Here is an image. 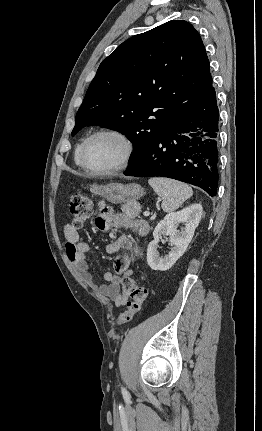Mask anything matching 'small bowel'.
<instances>
[{
	"instance_id": "1",
	"label": "small bowel",
	"mask_w": 262,
	"mask_h": 431,
	"mask_svg": "<svg viewBox=\"0 0 262 431\" xmlns=\"http://www.w3.org/2000/svg\"><path fill=\"white\" fill-rule=\"evenodd\" d=\"M105 202L100 201L98 208L103 209ZM96 226L101 230L112 228L134 229L136 233L145 238L149 231V223L143 219H131L123 213H112L101 215L96 218ZM64 236L66 240L67 258L73 265L78 277L87 284L101 298L111 299L116 307L125 305L127 298L121 291V281L125 277L132 275L133 261L142 254L140 243L133 241L127 235L119 236L114 242L106 247L108 254H117L122 251H131V255L120 254L115 260L116 273H106L104 275L106 283H99L92 275L86 259L89 245L80 241L77 230L67 223L64 226Z\"/></svg>"
}]
</instances>
